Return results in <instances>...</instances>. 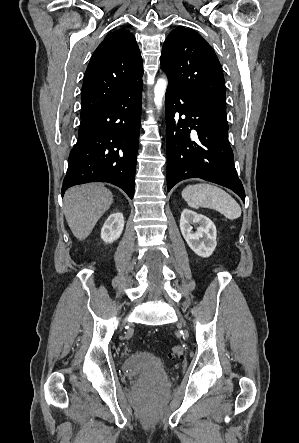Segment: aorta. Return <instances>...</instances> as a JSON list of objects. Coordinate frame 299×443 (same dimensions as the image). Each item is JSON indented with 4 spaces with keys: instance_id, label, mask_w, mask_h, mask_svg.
Here are the masks:
<instances>
[{
    "instance_id": "obj_1",
    "label": "aorta",
    "mask_w": 299,
    "mask_h": 443,
    "mask_svg": "<svg viewBox=\"0 0 299 443\" xmlns=\"http://www.w3.org/2000/svg\"><path fill=\"white\" fill-rule=\"evenodd\" d=\"M166 87H167V79L166 78L158 79L154 87V103L157 106V108H160L162 106V100L165 95Z\"/></svg>"
}]
</instances>
